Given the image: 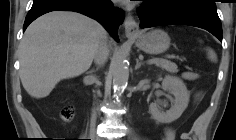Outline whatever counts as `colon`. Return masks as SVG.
Instances as JSON below:
<instances>
[{"instance_id": "obj_1", "label": "colon", "mask_w": 236, "mask_h": 140, "mask_svg": "<svg viewBox=\"0 0 236 140\" xmlns=\"http://www.w3.org/2000/svg\"><path fill=\"white\" fill-rule=\"evenodd\" d=\"M60 115L65 121H70L73 118V110L70 106H64L60 111Z\"/></svg>"}]
</instances>
